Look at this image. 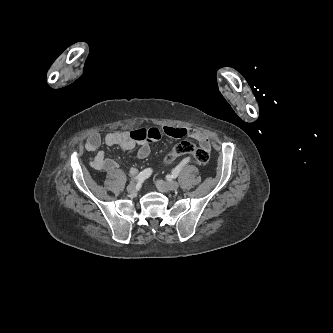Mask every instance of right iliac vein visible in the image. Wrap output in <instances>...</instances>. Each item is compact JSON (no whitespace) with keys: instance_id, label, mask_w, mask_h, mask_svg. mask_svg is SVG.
Masks as SVG:
<instances>
[{"instance_id":"63e3f726","label":"right iliac vein","mask_w":333,"mask_h":333,"mask_svg":"<svg viewBox=\"0 0 333 333\" xmlns=\"http://www.w3.org/2000/svg\"><path fill=\"white\" fill-rule=\"evenodd\" d=\"M127 191L130 193V194H136L137 192V187H136V184L135 183H131L127 186Z\"/></svg>"}]
</instances>
